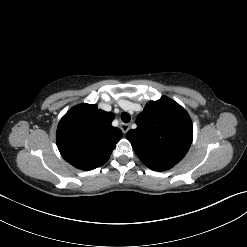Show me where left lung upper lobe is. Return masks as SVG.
<instances>
[{
	"label": "left lung upper lobe",
	"mask_w": 247,
	"mask_h": 247,
	"mask_svg": "<svg viewBox=\"0 0 247 247\" xmlns=\"http://www.w3.org/2000/svg\"><path fill=\"white\" fill-rule=\"evenodd\" d=\"M137 128L129 130L140 160L150 169L172 168L188 152L193 138L192 121L183 107L163 96L146 104L136 119Z\"/></svg>",
	"instance_id": "1"
}]
</instances>
